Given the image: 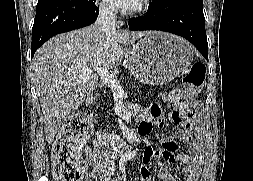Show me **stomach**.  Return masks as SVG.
Wrapping results in <instances>:
<instances>
[{"mask_svg": "<svg viewBox=\"0 0 253 181\" xmlns=\"http://www.w3.org/2000/svg\"><path fill=\"white\" fill-rule=\"evenodd\" d=\"M192 60L193 50L187 41L153 31L133 44L128 68L143 83L163 85L187 69Z\"/></svg>", "mask_w": 253, "mask_h": 181, "instance_id": "obj_1", "label": "stomach"}]
</instances>
